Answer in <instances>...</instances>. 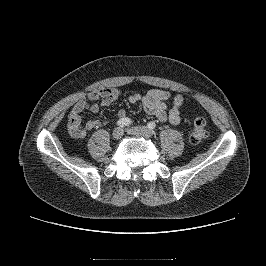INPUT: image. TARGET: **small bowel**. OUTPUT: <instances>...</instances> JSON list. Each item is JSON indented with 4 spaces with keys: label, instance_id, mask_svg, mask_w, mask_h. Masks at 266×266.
Wrapping results in <instances>:
<instances>
[{
    "label": "small bowel",
    "instance_id": "1",
    "mask_svg": "<svg viewBox=\"0 0 266 266\" xmlns=\"http://www.w3.org/2000/svg\"><path fill=\"white\" fill-rule=\"evenodd\" d=\"M119 98V91L115 88H104L88 93L78 100L71 108L68 115V131L74 138H84L87 132L100 125V121L89 120L83 122L81 115L84 111L98 112L102 107L109 106ZM172 99V106L167 102ZM131 104H141L144 111L155 116L160 122L169 121L172 125L181 123V109L183 107V97L171 94L162 89H152L145 95L133 93L127 96ZM124 110L118 112V117L124 118Z\"/></svg>",
    "mask_w": 266,
    "mask_h": 266
}]
</instances>
